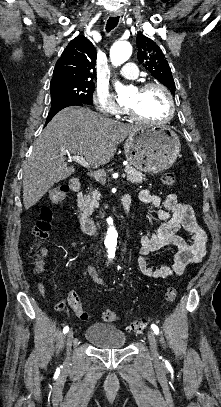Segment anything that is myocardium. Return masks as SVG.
I'll return each mask as SVG.
<instances>
[{
  "label": "myocardium",
  "instance_id": "obj_1",
  "mask_svg": "<svg viewBox=\"0 0 221 407\" xmlns=\"http://www.w3.org/2000/svg\"><path fill=\"white\" fill-rule=\"evenodd\" d=\"M151 88H158L160 89L167 97V101H168V114L167 116L162 119V120H148L143 118L142 116H140L136 110H134L133 108L130 107H126L124 108L125 112L136 122L142 123V124H148V125H163V124H167L168 122H170L174 116L175 113V102H174V98L173 95L171 93V91L163 84L159 83V82H147L142 84L139 88L138 91L140 93H144L146 91H148Z\"/></svg>",
  "mask_w": 221,
  "mask_h": 407
}]
</instances>
